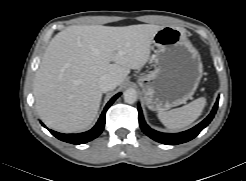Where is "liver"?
I'll return each mask as SVG.
<instances>
[{"instance_id":"liver-1","label":"liver","mask_w":246,"mask_h":181,"mask_svg":"<svg viewBox=\"0 0 246 181\" xmlns=\"http://www.w3.org/2000/svg\"><path fill=\"white\" fill-rule=\"evenodd\" d=\"M163 26L73 25L50 41L35 75V107L51 129L72 133L95 119L102 98L98 80L109 74L120 85L143 67L152 39Z\"/></svg>"}]
</instances>
